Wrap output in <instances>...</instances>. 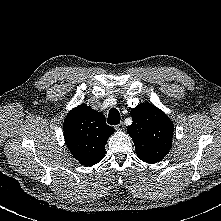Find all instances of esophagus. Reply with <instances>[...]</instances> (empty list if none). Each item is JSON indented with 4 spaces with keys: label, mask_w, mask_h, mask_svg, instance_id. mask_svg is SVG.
Returning a JSON list of instances; mask_svg holds the SVG:
<instances>
[{
    "label": "esophagus",
    "mask_w": 221,
    "mask_h": 221,
    "mask_svg": "<svg viewBox=\"0 0 221 221\" xmlns=\"http://www.w3.org/2000/svg\"><path fill=\"white\" fill-rule=\"evenodd\" d=\"M115 129L118 130V131H121L124 129V124L123 123H120L118 125L115 126Z\"/></svg>",
    "instance_id": "1"
}]
</instances>
